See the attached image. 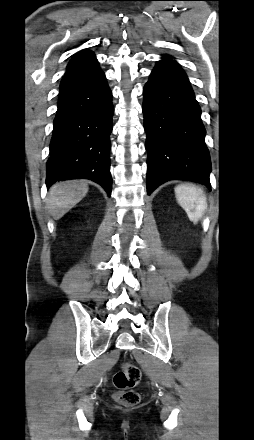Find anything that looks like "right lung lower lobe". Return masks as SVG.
Masks as SVG:
<instances>
[{
  "instance_id": "1",
  "label": "right lung lower lobe",
  "mask_w": 254,
  "mask_h": 440,
  "mask_svg": "<svg viewBox=\"0 0 254 440\" xmlns=\"http://www.w3.org/2000/svg\"><path fill=\"white\" fill-rule=\"evenodd\" d=\"M111 97L96 60L66 71L46 165L47 187L59 180L85 178L100 184L110 196Z\"/></svg>"
}]
</instances>
